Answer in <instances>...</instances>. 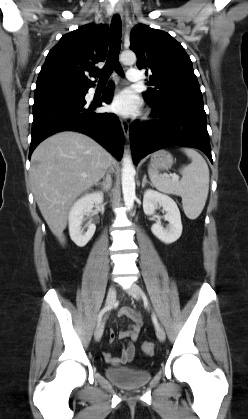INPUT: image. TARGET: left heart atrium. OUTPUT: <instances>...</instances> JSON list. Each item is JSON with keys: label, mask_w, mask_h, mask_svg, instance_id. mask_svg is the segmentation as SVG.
Returning a JSON list of instances; mask_svg holds the SVG:
<instances>
[{"label": "left heart atrium", "mask_w": 248, "mask_h": 419, "mask_svg": "<svg viewBox=\"0 0 248 419\" xmlns=\"http://www.w3.org/2000/svg\"><path fill=\"white\" fill-rule=\"evenodd\" d=\"M139 107V97L129 89L119 92L111 103L112 111L123 116L136 114L139 110Z\"/></svg>", "instance_id": "39dd6f15"}]
</instances>
